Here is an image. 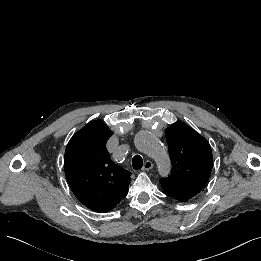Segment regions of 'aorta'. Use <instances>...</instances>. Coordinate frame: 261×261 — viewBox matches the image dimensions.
<instances>
[{"label":"aorta","mask_w":261,"mask_h":261,"mask_svg":"<svg viewBox=\"0 0 261 261\" xmlns=\"http://www.w3.org/2000/svg\"><path fill=\"white\" fill-rule=\"evenodd\" d=\"M134 144L140 152L155 159L160 175H168L170 171L168 155L157 138L147 131H140L134 138Z\"/></svg>","instance_id":"obj_1"}]
</instances>
